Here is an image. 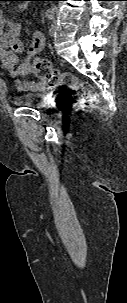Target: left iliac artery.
Listing matches in <instances>:
<instances>
[{
  "instance_id": "left-iliac-artery-1",
  "label": "left iliac artery",
  "mask_w": 127,
  "mask_h": 303,
  "mask_svg": "<svg viewBox=\"0 0 127 303\" xmlns=\"http://www.w3.org/2000/svg\"><path fill=\"white\" fill-rule=\"evenodd\" d=\"M45 14H46V17L48 19H50V20H52L54 18V11H53V9H47Z\"/></svg>"
}]
</instances>
